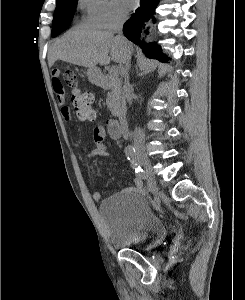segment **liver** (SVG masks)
Wrapping results in <instances>:
<instances>
[{"instance_id": "liver-1", "label": "liver", "mask_w": 245, "mask_h": 300, "mask_svg": "<svg viewBox=\"0 0 245 300\" xmlns=\"http://www.w3.org/2000/svg\"><path fill=\"white\" fill-rule=\"evenodd\" d=\"M132 51L129 41L122 42L111 31L80 28L67 32L52 44L48 65L52 67L57 60L87 68L107 65L110 60L123 64L130 59Z\"/></svg>"}]
</instances>
